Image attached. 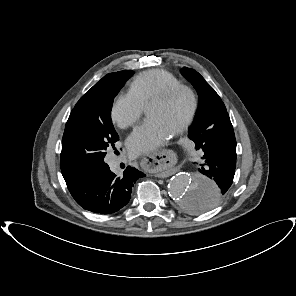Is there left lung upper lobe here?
Wrapping results in <instances>:
<instances>
[{
	"instance_id": "5c2ea615",
	"label": "left lung upper lobe",
	"mask_w": 296,
	"mask_h": 296,
	"mask_svg": "<svg viewBox=\"0 0 296 296\" xmlns=\"http://www.w3.org/2000/svg\"><path fill=\"white\" fill-rule=\"evenodd\" d=\"M181 74L194 86L199 96V107L189 130V138L194 141L196 150H201L204 143L202 134L228 113L219 95L198 72L184 67ZM192 206L193 202L186 209L193 211Z\"/></svg>"
}]
</instances>
